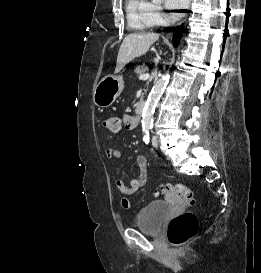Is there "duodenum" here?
<instances>
[{
  "label": "duodenum",
  "mask_w": 261,
  "mask_h": 273,
  "mask_svg": "<svg viewBox=\"0 0 261 273\" xmlns=\"http://www.w3.org/2000/svg\"><path fill=\"white\" fill-rule=\"evenodd\" d=\"M144 102H139L138 105H137V108H136V114H137V117L136 119H138V117L142 114L143 110H144Z\"/></svg>",
  "instance_id": "obj_1"
}]
</instances>
